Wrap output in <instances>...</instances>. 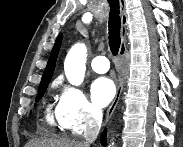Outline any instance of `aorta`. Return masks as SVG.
<instances>
[{"instance_id": "obj_1", "label": "aorta", "mask_w": 183, "mask_h": 147, "mask_svg": "<svg viewBox=\"0 0 183 147\" xmlns=\"http://www.w3.org/2000/svg\"><path fill=\"white\" fill-rule=\"evenodd\" d=\"M86 57L87 49L83 43L75 44L68 52L64 62V71L70 84L75 86L82 84L85 77Z\"/></svg>"}]
</instances>
